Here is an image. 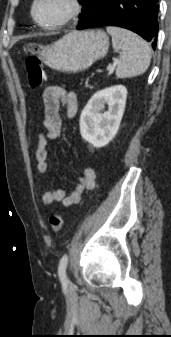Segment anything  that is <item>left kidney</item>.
<instances>
[{
  "instance_id": "obj_1",
  "label": "left kidney",
  "mask_w": 171,
  "mask_h": 337,
  "mask_svg": "<svg viewBox=\"0 0 171 337\" xmlns=\"http://www.w3.org/2000/svg\"><path fill=\"white\" fill-rule=\"evenodd\" d=\"M127 89L116 85L96 92L80 116V133L96 148L106 146L116 135L123 117ZM105 104L108 111L101 113Z\"/></svg>"
}]
</instances>
